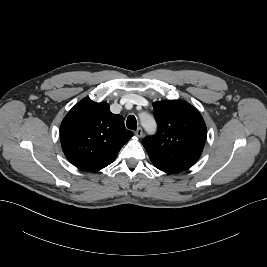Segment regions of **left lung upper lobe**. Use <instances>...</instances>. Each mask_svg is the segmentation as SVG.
I'll list each match as a JSON object with an SVG mask.
<instances>
[{
    "label": "left lung upper lobe",
    "mask_w": 267,
    "mask_h": 267,
    "mask_svg": "<svg viewBox=\"0 0 267 267\" xmlns=\"http://www.w3.org/2000/svg\"><path fill=\"white\" fill-rule=\"evenodd\" d=\"M158 132L142 144L158 169L183 171L193 166L203 151L207 130L199 111L184 100L153 103Z\"/></svg>",
    "instance_id": "obj_1"
}]
</instances>
